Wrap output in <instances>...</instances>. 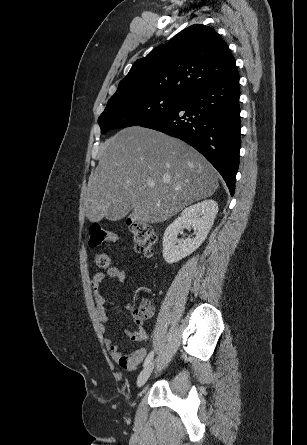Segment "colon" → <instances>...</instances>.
Masks as SVG:
<instances>
[{
    "label": "colon",
    "mask_w": 307,
    "mask_h": 445,
    "mask_svg": "<svg viewBox=\"0 0 307 445\" xmlns=\"http://www.w3.org/2000/svg\"><path fill=\"white\" fill-rule=\"evenodd\" d=\"M128 225L133 235L136 251L144 256H150L157 240L155 231L147 224L135 220H130ZM117 239L118 237L114 232L105 229L99 223H93L89 227L88 243L90 247H97L103 243H114ZM94 260L98 269L108 270L113 267L112 259L106 252H96ZM152 314L153 306L148 301L143 302L139 307L132 310V317L138 325L149 319ZM133 339L137 341L145 339L144 330L139 328Z\"/></svg>",
    "instance_id": "5ec220e1"
}]
</instances>
